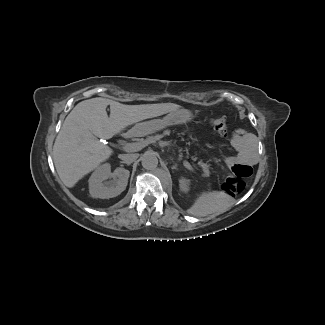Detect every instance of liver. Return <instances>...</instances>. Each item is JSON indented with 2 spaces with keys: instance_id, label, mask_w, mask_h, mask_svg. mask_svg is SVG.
<instances>
[{
  "instance_id": "obj_1",
  "label": "liver",
  "mask_w": 325,
  "mask_h": 325,
  "mask_svg": "<svg viewBox=\"0 0 325 325\" xmlns=\"http://www.w3.org/2000/svg\"><path fill=\"white\" fill-rule=\"evenodd\" d=\"M177 110L190 114L174 103L124 105L101 97L81 101L66 117L53 146V161L61 181L68 188L74 187L113 154L98 138L110 139L129 125Z\"/></svg>"
}]
</instances>
